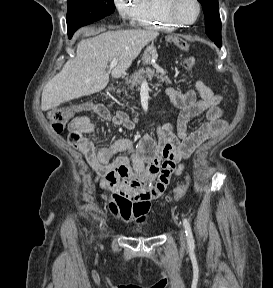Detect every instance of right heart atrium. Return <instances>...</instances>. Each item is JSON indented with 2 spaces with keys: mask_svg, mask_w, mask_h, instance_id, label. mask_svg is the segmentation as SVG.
Segmentation results:
<instances>
[{
  "mask_svg": "<svg viewBox=\"0 0 273 288\" xmlns=\"http://www.w3.org/2000/svg\"><path fill=\"white\" fill-rule=\"evenodd\" d=\"M114 5L123 20H132L139 0H113Z\"/></svg>",
  "mask_w": 273,
  "mask_h": 288,
  "instance_id": "1",
  "label": "right heart atrium"
}]
</instances>
